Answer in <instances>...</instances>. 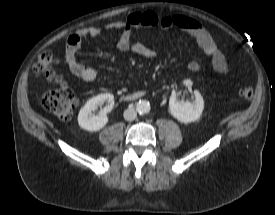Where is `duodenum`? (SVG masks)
<instances>
[{
  "mask_svg": "<svg viewBox=\"0 0 275 215\" xmlns=\"http://www.w3.org/2000/svg\"><path fill=\"white\" fill-rule=\"evenodd\" d=\"M144 96L145 94L143 92H136V93L126 94L121 96V100L124 102H134L143 98Z\"/></svg>",
  "mask_w": 275,
  "mask_h": 215,
  "instance_id": "obj_1",
  "label": "duodenum"
}]
</instances>
